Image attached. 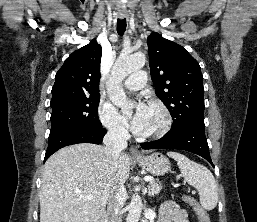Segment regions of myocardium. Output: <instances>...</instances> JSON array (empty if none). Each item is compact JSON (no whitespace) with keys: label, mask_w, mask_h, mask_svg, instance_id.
Wrapping results in <instances>:
<instances>
[{"label":"myocardium","mask_w":257,"mask_h":222,"mask_svg":"<svg viewBox=\"0 0 257 222\" xmlns=\"http://www.w3.org/2000/svg\"><path fill=\"white\" fill-rule=\"evenodd\" d=\"M150 106L156 108L160 114L159 124L152 130L146 133L145 137L147 138H160L163 137L171 128L172 125V116L170 110L159 99H153L150 101Z\"/></svg>","instance_id":"myocardium-1"}]
</instances>
